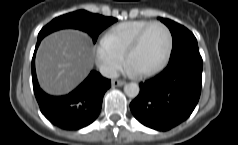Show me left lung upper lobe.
Returning <instances> with one entry per match:
<instances>
[{
    "label": "left lung upper lobe",
    "instance_id": "obj_1",
    "mask_svg": "<svg viewBox=\"0 0 238 145\" xmlns=\"http://www.w3.org/2000/svg\"><path fill=\"white\" fill-rule=\"evenodd\" d=\"M160 20L168 26L173 37V48L170 59L186 51L198 49L197 40L191 31L172 20L165 18H160Z\"/></svg>",
    "mask_w": 238,
    "mask_h": 145
}]
</instances>
